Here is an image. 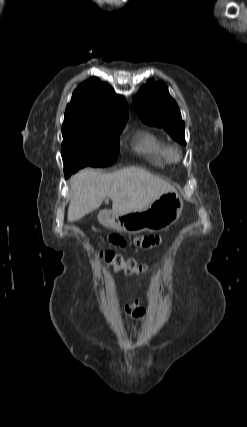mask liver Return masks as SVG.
Listing matches in <instances>:
<instances>
[{
    "mask_svg": "<svg viewBox=\"0 0 247 427\" xmlns=\"http://www.w3.org/2000/svg\"><path fill=\"white\" fill-rule=\"evenodd\" d=\"M70 188L69 221H77L98 209L105 198L112 200L114 212L126 214L143 210L162 194L175 191L168 182L139 167L108 174L85 168L70 178Z\"/></svg>",
    "mask_w": 247,
    "mask_h": 427,
    "instance_id": "1",
    "label": "liver"
}]
</instances>
